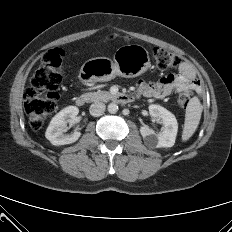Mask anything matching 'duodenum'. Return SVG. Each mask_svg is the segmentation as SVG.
Segmentation results:
<instances>
[{
  "label": "duodenum",
  "mask_w": 232,
  "mask_h": 232,
  "mask_svg": "<svg viewBox=\"0 0 232 232\" xmlns=\"http://www.w3.org/2000/svg\"><path fill=\"white\" fill-rule=\"evenodd\" d=\"M88 100V96L87 95H79L76 98V105L78 107H82L86 104ZM114 100L117 103H121V104H127V103H131L135 100V97L132 95H121V94H116L114 96Z\"/></svg>",
  "instance_id": "1"
}]
</instances>
